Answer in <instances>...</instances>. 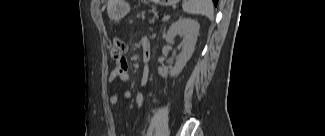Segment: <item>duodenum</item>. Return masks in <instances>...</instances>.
<instances>
[{
	"label": "duodenum",
	"instance_id": "duodenum-1",
	"mask_svg": "<svg viewBox=\"0 0 325 136\" xmlns=\"http://www.w3.org/2000/svg\"><path fill=\"white\" fill-rule=\"evenodd\" d=\"M142 47H143V60L147 62L149 58V51H148V44H146L144 40L142 41Z\"/></svg>",
	"mask_w": 325,
	"mask_h": 136
}]
</instances>
